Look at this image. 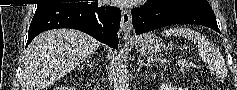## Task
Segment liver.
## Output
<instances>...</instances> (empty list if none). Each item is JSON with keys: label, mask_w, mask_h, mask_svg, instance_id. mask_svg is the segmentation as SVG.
Instances as JSON below:
<instances>
[{"label": "liver", "mask_w": 237, "mask_h": 90, "mask_svg": "<svg viewBox=\"0 0 237 90\" xmlns=\"http://www.w3.org/2000/svg\"><path fill=\"white\" fill-rule=\"evenodd\" d=\"M100 44L79 30H49L32 40L23 56L26 78L23 90H46L87 58ZM108 54L111 48L107 46Z\"/></svg>", "instance_id": "6515ba94"}]
</instances>
